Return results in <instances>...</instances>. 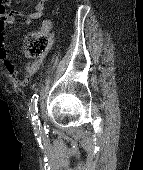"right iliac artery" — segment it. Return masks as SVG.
Listing matches in <instances>:
<instances>
[{
    "mask_svg": "<svg viewBox=\"0 0 143 170\" xmlns=\"http://www.w3.org/2000/svg\"><path fill=\"white\" fill-rule=\"evenodd\" d=\"M38 95L34 94L31 99L30 107H29V113L32 117L33 125L34 126H39L40 121L38 119V108H37V103H38Z\"/></svg>",
    "mask_w": 143,
    "mask_h": 170,
    "instance_id": "obj_1",
    "label": "right iliac artery"
}]
</instances>
